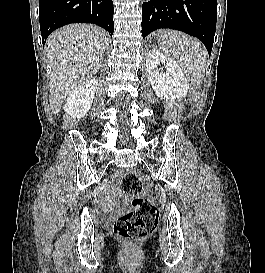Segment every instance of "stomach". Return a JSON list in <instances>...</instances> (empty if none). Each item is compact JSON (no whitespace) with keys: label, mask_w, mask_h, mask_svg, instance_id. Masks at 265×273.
Returning <instances> with one entry per match:
<instances>
[{"label":"stomach","mask_w":265,"mask_h":273,"mask_svg":"<svg viewBox=\"0 0 265 273\" xmlns=\"http://www.w3.org/2000/svg\"><path fill=\"white\" fill-rule=\"evenodd\" d=\"M144 45H150V49H168L171 35H152V40H144Z\"/></svg>","instance_id":"obj_1"}]
</instances>
